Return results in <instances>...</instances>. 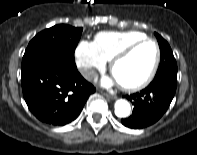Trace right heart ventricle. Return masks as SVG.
<instances>
[{
	"instance_id": "right-heart-ventricle-1",
	"label": "right heart ventricle",
	"mask_w": 197,
	"mask_h": 155,
	"mask_svg": "<svg viewBox=\"0 0 197 155\" xmlns=\"http://www.w3.org/2000/svg\"><path fill=\"white\" fill-rule=\"evenodd\" d=\"M146 37V34L136 30L102 31L95 35L94 43L106 60H111L126 45Z\"/></svg>"
}]
</instances>
